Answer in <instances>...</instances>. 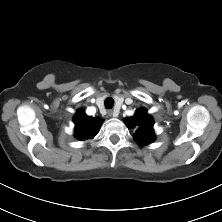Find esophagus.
<instances>
[{"label": "esophagus", "instance_id": "1", "mask_svg": "<svg viewBox=\"0 0 222 222\" xmlns=\"http://www.w3.org/2000/svg\"><path fill=\"white\" fill-rule=\"evenodd\" d=\"M107 113L110 117H117V114L113 110H108Z\"/></svg>", "mask_w": 222, "mask_h": 222}]
</instances>
